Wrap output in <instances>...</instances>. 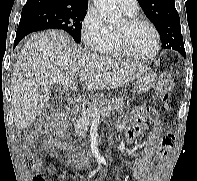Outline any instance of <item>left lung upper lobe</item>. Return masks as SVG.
<instances>
[{"label": "left lung upper lobe", "instance_id": "obj_1", "mask_svg": "<svg viewBox=\"0 0 197 181\" xmlns=\"http://www.w3.org/2000/svg\"><path fill=\"white\" fill-rule=\"evenodd\" d=\"M138 3L159 32L163 48H172L184 56L185 49L175 0H138Z\"/></svg>", "mask_w": 197, "mask_h": 181}]
</instances>
